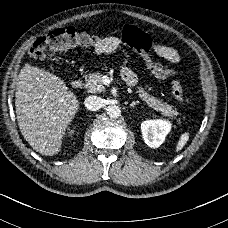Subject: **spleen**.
<instances>
[{"label": "spleen", "instance_id": "3e777b00", "mask_svg": "<svg viewBox=\"0 0 228 228\" xmlns=\"http://www.w3.org/2000/svg\"><path fill=\"white\" fill-rule=\"evenodd\" d=\"M189 138H190L189 132L182 133L181 136L179 137V140H178L177 145L175 147V152L181 151L185 147L187 142L189 141Z\"/></svg>", "mask_w": 228, "mask_h": 228}]
</instances>
